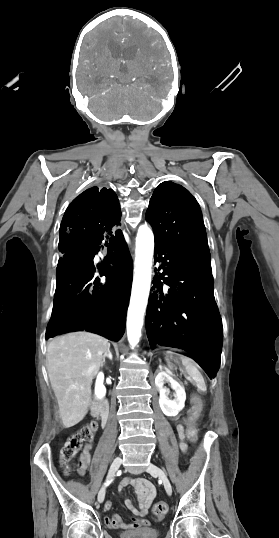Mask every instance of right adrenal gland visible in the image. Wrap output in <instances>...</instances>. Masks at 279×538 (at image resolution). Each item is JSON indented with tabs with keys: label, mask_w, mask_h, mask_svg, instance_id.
Listing matches in <instances>:
<instances>
[{
	"label": "right adrenal gland",
	"mask_w": 279,
	"mask_h": 538,
	"mask_svg": "<svg viewBox=\"0 0 279 538\" xmlns=\"http://www.w3.org/2000/svg\"><path fill=\"white\" fill-rule=\"evenodd\" d=\"M105 358H110V360H112V354L110 352V344H109V346L107 348V352H105V354L103 356V364H104V362H106ZM103 364H102V366H103Z\"/></svg>",
	"instance_id": "right-adrenal-gland-1"
}]
</instances>
